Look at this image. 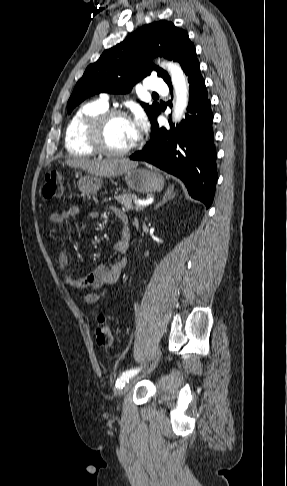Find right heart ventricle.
<instances>
[{"label": "right heart ventricle", "mask_w": 287, "mask_h": 486, "mask_svg": "<svg viewBox=\"0 0 287 486\" xmlns=\"http://www.w3.org/2000/svg\"><path fill=\"white\" fill-rule=\"evenodd\" d=\"M108 104L101 99L81 105L69 120L64 137L66 151L76 157H90L96 153L86 141V128L92 118L106 111Z\"/></svg>", "instance_id": "e07e8e85"}]
</instances>
